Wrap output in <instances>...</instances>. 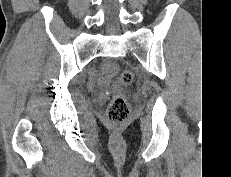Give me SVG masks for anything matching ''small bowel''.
Segmentation results:
<instances>
[{"mask_svg": "<svg viewBox=\"0 0 231 177\" xmlns=\"http://www.w3.org/2000/svg\"><path fill=\"white\" fill-rule=\"evenodd\" d=\"M118 69L119 68L116 64L113 63L105 64V66L103 67L102 74L98 79V84L101 87H107L111 82L112 76H114L118 72Z\"/></svg>", "mask_w": 231, "mask_h": 177, "instance_id": "c3829d8e", "label": "small bowel"}]
</instances>
